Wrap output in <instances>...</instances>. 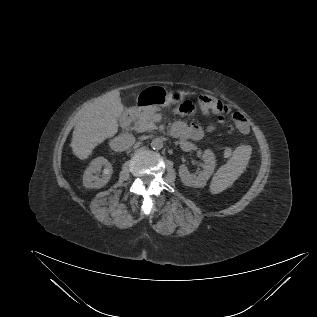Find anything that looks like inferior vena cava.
<instances>
[{"instance_id": "1", "label": "inferior vena cava", "mask_w": 317, "mask_h": 317, "mask_svg": "<svg viewBox=\"0 0 317 317\" xmlns=\"http://www.w3.org/2000/svg\"><path fill=\"white\" fill-rule=\"evenodd\" d=\"M135 143V137L129 133H123L115 137L110 142V147L116 152H122L130 149Z\"/></svg>"}]
</instances>
